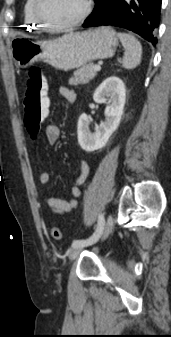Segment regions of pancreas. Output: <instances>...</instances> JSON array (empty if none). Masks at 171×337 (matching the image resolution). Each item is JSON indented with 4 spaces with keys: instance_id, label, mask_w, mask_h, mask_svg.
<instances>
[{
    "instance_id": "cf45deb5",
    "label": "pancreas",
    "mask_w": 171,
    "mask_h": 337,
    "mask_svg": "<svg viewBox=\"0 0 171 337\" xmlns=\"http://www.w3.org/2000/svg\"><path fill=\"white\" fill-rule=\"evenodd\" d=\"M94 67L95 65L93 63H87L78 68L74 72L73 77L69 79V84L80 85L88 83L97 74V71L94 70Z\"/></svg>"
}]
</instances>
